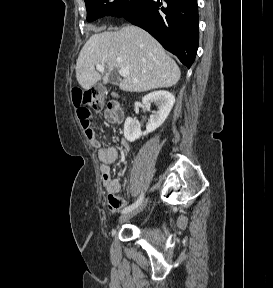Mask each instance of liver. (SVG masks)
<instances>
[{
	"label": "liver",
	"mask_w": 273,
	"mask_h": 288,
	"mask_svg": "<svg viewBox=\"0 0 273 288\" xmlns=\"http://www.w3.org/2000/svg\"><path fill=\"white\" fill-rule=\"evenodd\" d=\"M95 32L82 47L76 63V78L85 90L101 79L107 84L111 71L121 68L129 70V76L120 82L123 91L146 92L179 81L178 65L143 29L127 25L115 32ZM97 64L106 66L108 72L101 75L95 70Z\"/></svg>",
	"instance_id": "obj_1"
}]
</instances>
